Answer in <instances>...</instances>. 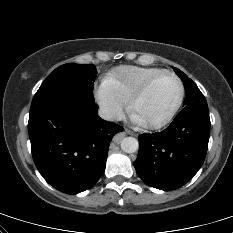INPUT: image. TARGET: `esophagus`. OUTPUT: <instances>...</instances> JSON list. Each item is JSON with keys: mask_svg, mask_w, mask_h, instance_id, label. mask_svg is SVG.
I'll return each mask as SVG.
<instances>
[{"mask_svg": "<svg viewBox=\"0 0 233 233\" xmlns=\"http://www.w3.org/2000/svg\"><path fill=\"white\" fill-rule=\"evenodd\" d=\"M126 133L129 134V135H135L132 131L130 130H126Z\"/></svg>", "mask_w": 233, "mask_h": 233, "instance_id": "esophagus-1", "label": "esophagus"}]
</instances>
